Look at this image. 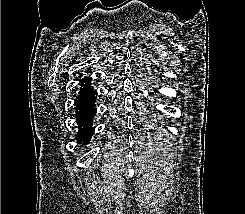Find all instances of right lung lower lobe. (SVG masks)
Returning a JSON list of instances; mask_svg holds the SVG:
<instances>
[{"mask_svg": "<svg viewBox=\"0 0 245 214\" xmlns=\"http://www.w3.org/2000/svg\"><path fill=\"white\" fill-rule=\"evenodd\" d=\"M90 81V77L82 80V88L74 103L76 109V121L79 128L76 139L78 143L82 144H87L94 133L92 119L96 113L95 96L97 95V92L91 88Z\"/></svg>", "mask_w": 245, "mask_h": 214, "instance_id": "1", "label": "right lung lower lobe"}]
</instances>
